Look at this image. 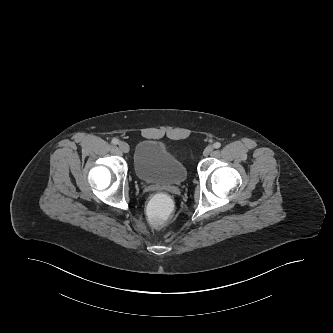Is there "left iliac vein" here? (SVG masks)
<instances>
[{
	"instance_id": "obj_1",
	"label": "left iliac vein",
	"mask_w": 333,
	"mask_h": 333,
	"mask_svg": "<svg viewBox=\"0 0 333 333\" xmlns=\"http://www.w3.org/2000/svg\"><path fill=\"white\" fill-rule=\"evenodd\" d=\"M213 147L212 146H207L203 152L204 156H208L212 153Z\"/></svg>"
}]
</instances>
